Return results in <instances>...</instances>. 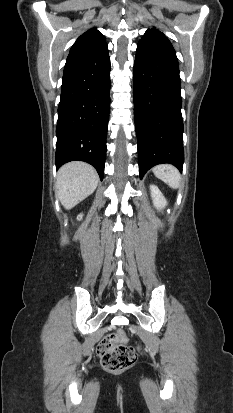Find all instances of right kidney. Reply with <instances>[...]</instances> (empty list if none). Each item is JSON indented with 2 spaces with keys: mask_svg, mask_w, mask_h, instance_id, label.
Returning <instances> with one entry per match:
<instances>
[{
  "mask_svg": "<svg viewBox=\"0 0 233 413\" xmlns=\"http://www.w3.org/2000/svg\"><path fill=\"white\" fill-rule=\"evenodd\" d=\"M82 217H83V215H82V214L78 215V216H77V220H81V219H82Z\"/></svg>",
  "mask_w": 233,
  "mask_h": 413,
  "instance_id": "right-kidney-1",
  "label": "right kidney"
}]
</instances>
